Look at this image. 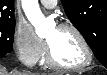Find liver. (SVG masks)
I'll use <instances>...</instances> for the list:
<instances>
[{"instance_id":"6515ba94","label":"liver","mask_w":107,"mask_h":75,"mask_svg":"<svg viewBox=\"0 0 107 75\" xmlns=\"http://www.w3.org/2000/svg\"><path fill=\"white\" fill-rule=\"evenodd\" d=\"M0 75H9V74L5 68L1 67L0 68ZM10 75H22V74L14 72L13 74H10ZM30 75H39V74H30Z\"/></svg>"}]
</instances>
